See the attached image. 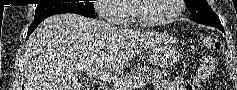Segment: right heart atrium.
Segmentation results:
<instances>
[{
	"label": "right heart atrium",
	"mask_w": 237,
	"mask_h": 90,
	"mask_svg": "<svg viewBox=\"0 0 237 90\" xmlns=\"http://www.w3.org/2000/svg\"><path fill=\"white\" fill-rule=\"evenodd\" d=\"M119 6H122V0H95L91 9L101 12L105 20H126V13Z\"/></svg>",
	"instance_id": "d8ad5b80"
}]
</instances>
